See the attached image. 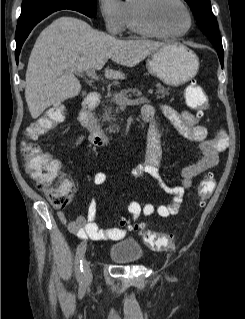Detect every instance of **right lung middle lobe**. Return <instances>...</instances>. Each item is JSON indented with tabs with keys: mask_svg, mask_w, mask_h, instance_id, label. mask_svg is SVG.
I'll return each mask as SVG.
<instances>
[{
	"mask_svg": "<svg viewBox=\"0 0 245 319\" xmlns=\"http://www.w3.org/2000/svg\"><path fill=\"white\" fill-rule=\"evenodd\" d=\"M61 9H71L88 17L96 16V0H23L18 24Z\"/></svg>",
	"mask_w": 245,
	"mask_h": 319,
	"instance_id": "obj_1",
	"label": "right lung middle lobe"
}]
</instances>
